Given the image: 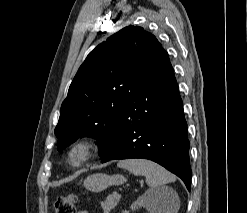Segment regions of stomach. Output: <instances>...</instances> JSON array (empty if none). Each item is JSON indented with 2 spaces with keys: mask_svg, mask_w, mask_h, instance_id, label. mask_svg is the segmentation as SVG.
I'll use <instances>...</instances> for the list:
<instances>
[{
  "mask_svg": "<svg viewBox=\"0 0 247 213\" xmlns=\"http://www.w3.org/2000/svg\"><path fill=\"white\" fill-rule=\"evenodd\" d=\"M125 182L124 176L120 174L107 175L103 173H96L89 175L84 180V187L94 193H99L109 186L121 185Z\"/></svg>",
  "mask_w": 247,
  "mask_h": 213,
  "instance_id": "0dacf381",
  "label": "stomach"
}]
</instances>
